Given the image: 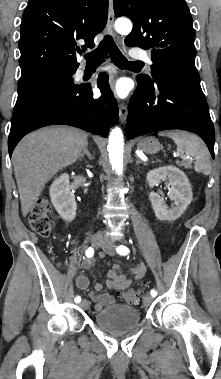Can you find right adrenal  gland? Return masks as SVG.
Instances as JSON below:
<instances>
[{"label": "right adrenal gland", "mask_w": 221, "mask_h": 379, "mask_svg": "<svg viewBox=\"0 0 221 379\" xmlns=\"http://www.w3.org/2000/svg\"><path fill=\"white\" fill-rule=\"evenodd\" d=\"M85 155L88 157V159L90 161H92L94 159V155H92L90 153V151L88 150V143L85 145V147L83 148L82 153L79 156L80 160H82V158H84Z\"/></svg>", "instance_id": "right-adrenal-gland-1"}]
</instances>
